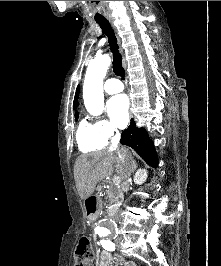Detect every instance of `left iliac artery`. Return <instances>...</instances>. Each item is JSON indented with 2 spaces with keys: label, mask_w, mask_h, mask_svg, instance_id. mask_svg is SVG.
Instances as JSON below:
<instances>
[{
  "label": "left iliac artery",
  "mask_w": 221,
  "mask_h": 266,
  "mask_svg": "<svg viewBox=\"0 0 221 266\" xmlns=\"http://www.w3.org/2000/svg\"><path fill=\"white\" fill-rule=\"evenodd\" d=\"M96 234H99V236L102 237V236H107L108 232L99 231ZM100 243L105 250H108V251H114L115 250V244L108 239L107 240H101Z\"/></svg>",
  "instance_id": "obj_1"
}]
</instances>
